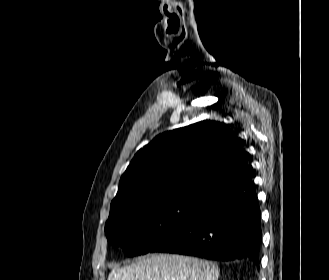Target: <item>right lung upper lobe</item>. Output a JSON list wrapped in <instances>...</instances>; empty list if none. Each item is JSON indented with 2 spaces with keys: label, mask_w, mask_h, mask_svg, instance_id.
<instances>
[{
  "label": "right lung upper lobe",
  "mask_w": 329,
  "mask_h": 280,
  "mask_svg": "<svg viewBox=\"0 0 329 280\" xmlns=\"http://www.w3.org/2000/svg\"><path fill=\"white\" fill-rule=\"evenodd\" d=\"M249 154L228 125L205 120L162 133L140 149L121 176L111 205L176 196L202 197Z\"/></svg>",
  "instance_id": "obj_1"
}]
</instances>
